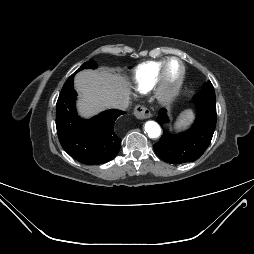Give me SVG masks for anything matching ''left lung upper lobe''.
<instances>
[{
    "label": "left lung upper lobe",
    "mask_w": 254,
    "mask_h": 254,
    "mask_svg": "<svg viewBox=\"0 0 254 254\" xmlns=\"http://www.w3.org/2000/svg\"><path fill=\"white\" fill-rule=\"evenodd\" d=\"M203 92H205V93H212V94L215 93L213 85H212V83L210 81H208V82H206L204 84Z\"/></svg>",
    "instance_id": "left-lung-upper-lobe-1"
}]
</instances>
